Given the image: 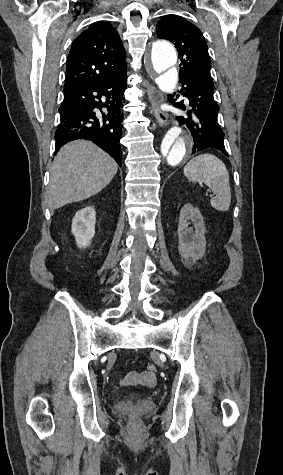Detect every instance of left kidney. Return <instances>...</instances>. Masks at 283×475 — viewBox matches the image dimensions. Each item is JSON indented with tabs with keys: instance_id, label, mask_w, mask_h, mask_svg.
Returning a JSON list of instances; mask_svg holds the SVG:
<instances>
[{
	"instance_id": "left-kidney-1",
	"label": "left kidney",
	"mask_w": 283,
	"mask_h": 475,
	"mask_svg": "<svg viewBox=\"0 0 283 475\" xmlns=\"http://www.w3.org/2000/svg\"><path fill=\"white\" fill-rule=\"evenodd\" d=\"M191 220L193 228H188ZM203 216L198 208H193L191 204H185L180 210L178 224L179 253L185 261L196 263V259H201L206 249V238L204 236L206 228L203 224Z\"/></svg>"
}]
</instances>
